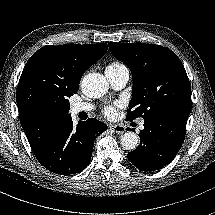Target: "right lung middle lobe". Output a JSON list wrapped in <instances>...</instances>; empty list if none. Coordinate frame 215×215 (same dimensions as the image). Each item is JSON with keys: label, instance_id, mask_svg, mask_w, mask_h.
Here are the masks:
<instances>
[{"label": "right lung middle lobe", "instance_id": "obj_1", "mask_svg": "<svg viewBox=\"0 0 215 215\" xmlns=\"http://www.w3.org/2000/svg\"><path fill=\"white\" fill-rule=\"evenodd\" d=\"M69 109H70V104H69V103H67V104L65 105V110L68 112V111H69Z\"/></svg>", "mask_w": 215, "mask_h": 215}]
</instances>
